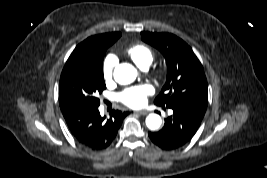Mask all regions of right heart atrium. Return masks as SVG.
Returning a JSON list of instances; mask_svg holds the SVG:
<instances>
[{"instance_id": "1", "label": "right heart atrium", "mask_w": 267, "mask_h": 178, "mask_svg": "<svg viewBox=\"0 0 267 178\" xmlns=\"http://www.w3.org/2000/svg\"><path fill=\"white\" fill-rule=\"evenodd\" d=\"M115 64L116 57L111 54L107 55L102 62V75L107 83L111 82L113 79Z\"/></svg>"}]
</instances>
